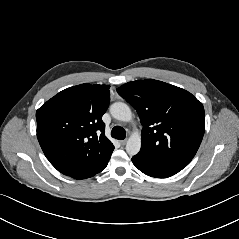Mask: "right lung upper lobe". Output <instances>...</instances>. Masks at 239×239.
I'll return each instance as SVG.
<instances>
[{"instance_id":"obj_1","label":"right lung upper lobe","mask_w":239,"mask_h":239,"mask_svg":"<svg viewBox=\"0 0 239 239\" xmlns=\"http://www.w3.org/2000/svg\"><path fill=\"white\" fill-rule=\"evenodd\" d=\"M109 85L88 83L67 88L36 112L37 138L49 162L62 174L87 178L110 159L113 144L105 136Z\"/></svg>"}]
</instances>
